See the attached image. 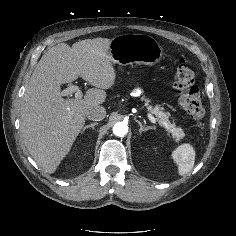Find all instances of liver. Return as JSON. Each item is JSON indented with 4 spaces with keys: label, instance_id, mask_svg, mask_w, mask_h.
Returning <instances> with one entry per match:
<instances>
[{
    "label": "liver",
    "instance_id": "1",
    "mask_svg": "<svg viewBox=\"0 0 236 236\" xmlns=\"http://www.w3.org/2000/svg\"><path fill=\"white\" fill-rule=\"evenodd\" d=\"M110 39L60 43L44 53L23 96L20 129L36 163L54 173L85 124L86 112L106 99L116 72L108 54ZM81 77L95 88L83 99H65L61 84Z\"/></svg>",
    "mask_w": 236,
    "mask_h": 236
}]
</instances>
